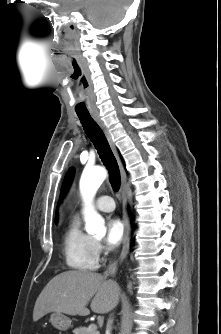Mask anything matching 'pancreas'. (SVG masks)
<instances>
[{"label":"pancreas","instance_id":"obj_1","mask_svg":"<svg viewBox=\"0 0 221 334\" xmlns=\"http://www.w3.org/2000/svg\"><path fill=\"white\" fill-rule=\"evenodd\" d=\"M74 334H99L97 331L90 332L87 327H79L73 330Z\"/></svg>","mask_w":221,"mask_h":334}]
</instances>
